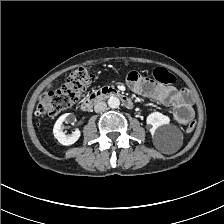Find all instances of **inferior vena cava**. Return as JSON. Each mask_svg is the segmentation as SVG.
I'll use <instances>...</instances> for the list:
<instances>
[{
	"instance_id": "inferior-vena-cava-1",
	"label": "inferior vena cava",
	"mask_w": 224,
	"mask_h": 224,
	"mask_svg": "<svg viewBox=\"0 0 224 224\" xmlns=\"http://www.w3.org/2000/svg\"><path fill=\"white\" fill-rule=\"evenodd\" d=\"M106 108H107L106 103L103 102V101H100V102H97V103L95 104V106H94V111H95L96 113H99V112L104 111Z\"/></svg>"
}]
</instances>
